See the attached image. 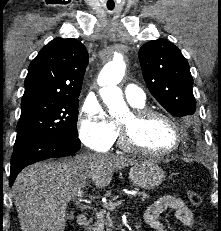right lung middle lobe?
I'll use <instances>...</instances> for the list:
<instances>
[{
    "label": "right lung middle lobe",
    "mask_w": 221,
    "mask_h": 231,
    "mask_svg": "<svg viewBox=\"0 0 221 231\" xmlns=\"http://www.w3.org/2000/svg\"><path fill=\"white\" fill-rule=\"evenodd\" d=\"M78 98L34 97L21 102L14 149L48 136L78 140Z\"/></svg>",
    "instance_id": "dd1d6c3e"
}]
</instances>
